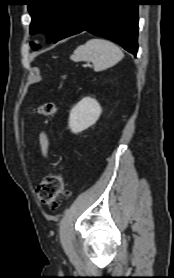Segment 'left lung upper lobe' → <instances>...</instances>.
I'll use <instances>...</instances> for the list:
<instances>
[{"label": "left lung upper lobe", "mask_w": 174, "mask_h": 278, "mask_svg": "<svg viewBox=\"0 0 174 278\" xmlns=\"http://www.w3.org/2000/svg\"><path fill=\"white\" fill-rule=\"evenodd\" d=\"M78 0H30L28 10L32 17L31 34L43 32L48 42L56 38L73 15ZM34 49L39 46L31 44Z\"/></svg>", "instance_id": "obj_1"}]
</instances>
